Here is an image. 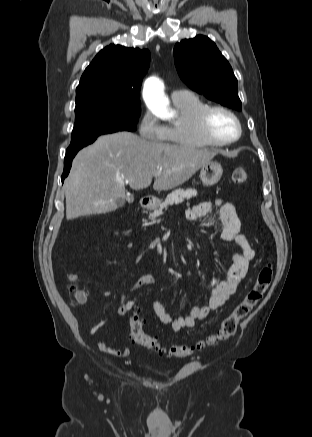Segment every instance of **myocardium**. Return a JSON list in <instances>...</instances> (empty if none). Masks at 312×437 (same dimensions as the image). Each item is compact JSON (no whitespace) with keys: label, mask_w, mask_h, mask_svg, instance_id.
<instances>
[{"label":"myocardium","mask_w":312,"mask_h":437,"mask_svg":"<svg viewBox=\"0 0 312 437\" xmlns=\"http://www.w3.org/2000/svg\"><path fill=\"white\" fill-rule=\"evenodd\" d=\"M215 111H221L226 114H228L233 120L235 121L237 125V134L227 140H220L215 138L209 128H208V120L211 114ZM196 129L200 137L209 143L210 145L215 146H226L230 145L236 141H238L242 135V124L238 116L229 108L222 106V105H211L203 108L196 116Z\"/></svg>","instance_id":"f54148a6"}]
</instances>
